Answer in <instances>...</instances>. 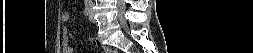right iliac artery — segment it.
<instances>
[{
  "mask_svg": "<svg viewBox=\"0 0 253 53\" xmlns=\"http://www.w3.org/2000/svg\"><path fill=\"white\" fill-rule=\"evenodd\" d=\"M89 12H90V5H89L88 2H86V4H85V9H84V13H85L86 16H88V15H89Z\"/></svg>",
  "mask_w": 253,
  "mask_h": 53,
  "instance_id": "82829eb1",
  "label": "right iliac artery"
}]
</instances>
